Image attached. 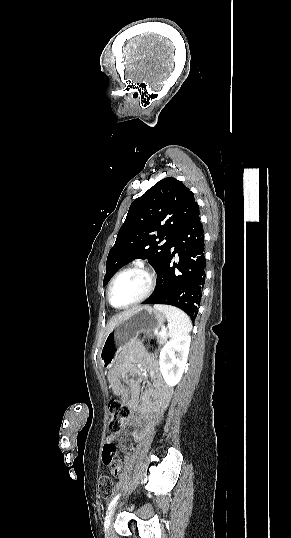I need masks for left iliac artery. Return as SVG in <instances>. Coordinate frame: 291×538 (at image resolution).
<instances>
[{
	"instance_id": "1",
	"label": "left iliac artery",
	"mask_w": 291,
	"mask_h": 538,
	"mask_svg": "<svg viewBox=\"0 0 291 538\" xmlns=\"http://www.w3.org/2000/svg\"><path fill=\"white\" fill-rule=\"evenodd\" d=\"M120 497V493L117 494L113 499L112 501L110 502L109 506H108V510H110L116 503H117V500L119 499Z\"/></svg>"
}]
</instances>
